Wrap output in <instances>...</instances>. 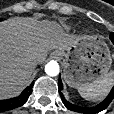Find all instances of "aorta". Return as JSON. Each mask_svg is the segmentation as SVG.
I'll return each instance as SVG.
<instances>
[{
	"label": "aorta",
	"instance_id": "1",
	"mask_svg": "<svg viewBox=\"0 0 114 114\" xmlns=\"http://www.w3.org/2000/svg\"><path fill=\"white\" fill-rule=\"evenodd\" d=\"M45 72L49 76H57L59 74V65L55 61H51L46 64Z\"/></svg>",
	"mask_w": 114,
	"mask_h": 114
}]
</instances>
